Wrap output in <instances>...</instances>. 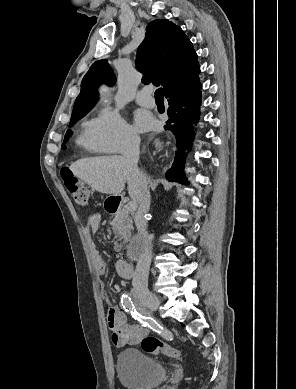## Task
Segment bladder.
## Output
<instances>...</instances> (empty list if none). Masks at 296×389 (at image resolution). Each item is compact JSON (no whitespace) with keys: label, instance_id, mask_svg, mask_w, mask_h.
<instances>
[{"label":"bladder","instance_id":"31cf9c89","mask_svg":"<svg viewBox=\"0 0 296 389\" xmlns=\"http://www.w3.org/2000/svg\"><path fill=\"white\" fill-rule=\"evenodd\" d=\"M116 373L121 384L128 389H153L167 376L166 368L138 349H124L116 356Z\"/></svg>","mask_w":296,"mask_h":389}]
</instances>
